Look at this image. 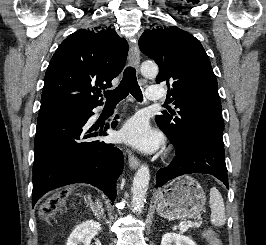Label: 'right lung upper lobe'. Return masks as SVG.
Wrapping results in <instances>:
<instances>
[{"label":"right lung upper lobe","instance_id":"cb5924a9","mask_svg":"<svg viewBox=\"0 0 266 245\" xmlns=\"http://www.w3.org/2000/svg\"><path fill=\"white\" fill-rule=\"evenodd\" d=\"M128 43L111 28L79 29L58 47L47 68L37 122L102 104L100 89L122 71Z\"/></svg>","mask_w":266,"mask_h":245}]
</instances>
